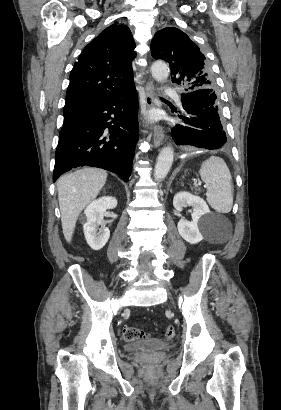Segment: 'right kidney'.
Returning <instances> with one entry per match:
<instances>
[{
  "mask_svg": "<svg viewBox=\"0 0 281 410\" xmlns=\"http://www.w3.org/2000/svg\"><path fill=\"white\" fill-rule=\"evenodd\" d=\"M116 206V198L104 196L89 204L84 214L80 217L83 223L85 239L93 250H100L107 243L110 231L104 224V212L107 209H114Z\"/></svg>",
  "mask_w": 281,
  "mask_h": 410,
  "instance_id": "1",
  "label": "right kidney"
}]
</instances>
